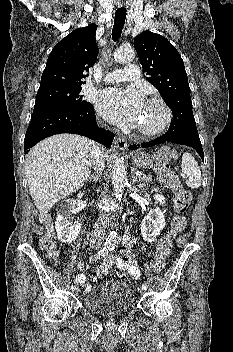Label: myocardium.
Here are the masks:
<instances>
[{"label": "myocardium", "mask_w": 233, "mask_h": 352, "mask_svg": "<svg viewBox=\"0 0 233 352\" xmlns=\"http://www.w3.org/2000/svg\"><path fill=\"white\" fill-rule=\"evenodd\" d=\"M147 101L154 102L160 106L163 111V118L162 121L156 125L155 127L143 129L137 128V132L145 137H153L160 133H162L171 123L172 120V111L168 104L159 96L151 95L146 98Z\"/></svg>", "instance_id": "myocardium-1"}]
</instances>
